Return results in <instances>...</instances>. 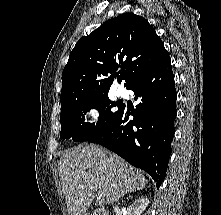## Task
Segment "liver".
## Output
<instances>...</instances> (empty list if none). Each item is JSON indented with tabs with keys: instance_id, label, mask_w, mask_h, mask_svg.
I'll use <instances>...</instances> for the list:
<instances>
[{
	"instance_id": "1",
	"label": "liver",
	"mask_w": 221,
	"mask_h": 215,
	"mask_svg": "<svg viewBox=\"0 0 221 215\" xmlns=\"http://www.w3.org/2000/svg\"><path fill=\"white\" fill-rule=\"evenodd\" d=\"M68 215H84L95 191L107 204L146 187L141 170L103 148L85 144L66 150L58 167Z\"/></svg>"
}]
</instances>
